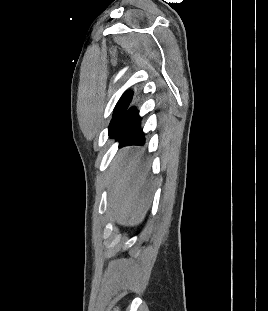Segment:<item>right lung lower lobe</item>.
Instances as JSON below:
<instances>
[{
    "label": "right lung lower lobe",
    "mask_w": 268,
    "mask_h": 311,
    "mask_svg": "<svg viewBox=\"0 0 268 311\" xmlns=\"http://www.w3.org/2000/svg\"><path fill=\"white\" fill-rule=\"evenodd\" d=\"M141 120L137 108L130 107L129 104L124 115L109 131V136L116 138L120 146L143 145L145 137L140 125Z\"/></svg>",
    "instance_id": "98d812e1"
}]
</instances>
